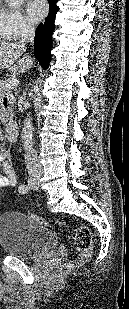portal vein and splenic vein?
<instances>
[{"mask_svg": "<svg viewBox=\"0 0 129 309\" xmlns=\"http://www.w3.org/2000/svg\"><path fill=\"white\" fill-rule=\"evenodd\" d=\"M19 81L16 78H10L6 81L5 86L9 89H14L18 86Z\"/></svg>", "mask_w": 129, "mask_h": 309, "instance_id": "portal-vein-and-splenic-vein-1", "label": "portal vein and splenic vein"}]
</instances>
